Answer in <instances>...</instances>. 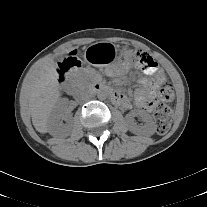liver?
<instances>
[{"label": "liver", "instance_id": "obj_1", "mask_svg": "<svg viewBox=\"0 0 207 207\" xmlns=\"http://www.w3.org/2000/svg\"><path fill=\"white\" fill-rule=\"evenodd\" d=\"M73 49H65L62 53ZM22 96L30 108L35 129L47 133L50 114L61 96L53 58L46 59L28 73L22 86Z\"/></svg>", "mask_w": 207, "mask_h": 207}]
</instances>
